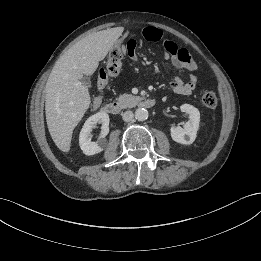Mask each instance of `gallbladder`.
I'll list each match as a JSON object with an SVG mask.
<instances>
[{
	"instance_id": "1",
	"label": "gallbladder",
	"mask_w": 261,
	"mask_h": 261,
	"mask_svg": "<svg viewBox=\"0 0 261 261\" xmlns=\"http://www.w3.org/2000/svg\"><path fill=\"white\" fill-rule=\"evenodd\" d=\"M81 83L87 87H89L91 85V80L89 77L87 76H84L82 79H81Z\"/></svg>"
}]
</instances>
